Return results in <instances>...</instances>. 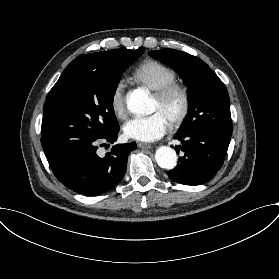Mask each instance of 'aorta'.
I'll list each match as a JSON object with an SVG mask.
<instances>
[{
  "mask_svg": "<svg viewBox=\"0 0 279 279\" xmlns=\"http://www.w3.org/2000/svg\"><path fill=\"white\" fill-rule=\"evenodd\" d=\"M127 108L135 114H150L153 111L148 94L140 89L128 95ZM155 160L161 168L173 169L177 164L176 151L168 146H160L156 150Z\"/></svg>",
  "mask_w": 279,
  "mask_h": 279,
  "instance_id": "obj_1",
  "label": "aorta"
}]
</instances>
